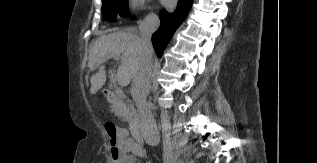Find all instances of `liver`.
Wrapping results in <instances>:
<instances>
[{
	"label": "liver",
	"mask_w": 317,
	"mask_h": 163,
	"mask_svg": "<svg viewBox=\"0 0 317 163\" xmlns=\"http://www.w3.org/2000/svg\"><path fill=\"white\" fill-rule=\"evenodd\" d=\"M114 57L120 58L118 67V83L127 86L134 80L143 60L141 37L135 29L129 28L100 36L89 53V68L94 70L97 64ZM106 81L105 66H101L90 78V93L95 94Z\"/></svg>",
	"instance_id": "obj_1"
}]
</instances>
